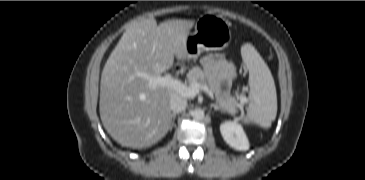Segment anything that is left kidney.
Listing matches in <instances>:
<instances>
[{"label":"left kidney","mask_w":365,"mask_h":180,"mask_svg":"<svg viewBox=\"0 0 365 180\" xmlns=\"http://www.w3.org/2000/svg\"><path fill=\"white\" fill-rule=\"evenodd\" d=\"M223 139L236 150H248L249 142L243 128L236 122L226 121L220 125Z\"/></svg>","instance_id":"obj_1"}]
</instances>
